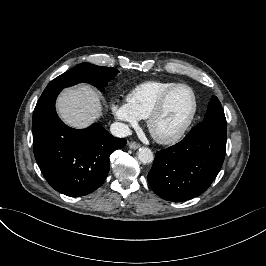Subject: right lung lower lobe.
I'll return each instance as SVG.
<instances>
[{"instance_id":"98d812e1","label":"right lung lower lobe","mask_w":266,"mask_h":266,"mask_svg":"<svg viewBox=\"0 0 266 266\" xmlns=\"http://www.w3.org/2000/svg\"><path fill=\"white\" fill-rule=\"evenodd\" d=\"M62 89L43 93L33 113V146L45 179L58 192L83 196L95 191L106 179L110 154L126 145L100 124L76 130L66 126L55 110Z\"/></svg>"}]
</instances>
